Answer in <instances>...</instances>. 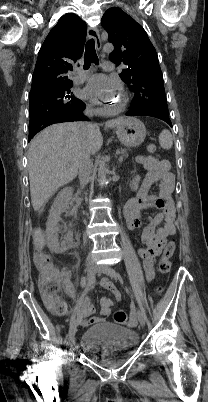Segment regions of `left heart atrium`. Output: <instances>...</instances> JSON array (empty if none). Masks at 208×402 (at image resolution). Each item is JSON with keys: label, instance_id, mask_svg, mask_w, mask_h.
Returning a JSON list of instances; mask_svg holds the SVG:
<instances>
[{"label": "left heart atrium", "instance_id": "39dd6f15", "mask_svg": "<svg viewBox=\"0 0 208 402\" xmlns=\"http://www.w3.org/2000/svg\"><path fill=\"white\" fill-rule=\"evenodd\" d=\"M115 90L113 82L103 74H96L88 78L86 84L80 91V96L84 100H109L110 93Z\"/></svg>", "mask_w": 208, "mask_h": 402}]
</instances>
